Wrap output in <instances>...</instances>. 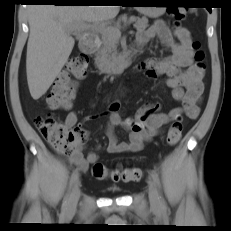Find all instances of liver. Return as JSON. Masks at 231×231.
<instances>
[{
    "label": "liver",
    "mask_w": 231,
    "mask_h": 231,
    "mask_svg": "<svg viewBox=\"0 0 231 231\" xmlns=\"http://www.w3.org/2000/svg\"><path fill=\"white\" fill-rule=\"evenodd\" d=\"M30 34L27 44L26 73L34 100L42 97L68 61L75 41L70 27L114 19L118 6L31 5L27 8Z\"/></svg>",
    "instance_id": "liver-1"
}]
</instances>
